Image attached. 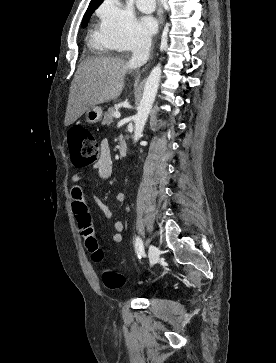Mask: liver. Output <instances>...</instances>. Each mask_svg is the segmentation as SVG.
Instances as JSON below:
<instances>
[{"instance_id":"1","label":"liver","mask_w":276,"mask_h":363,"mask_svg":"<svg viewBox=\"0 0 276 363\" xmlns=\"http://www.w3.org/2000/svg\"><path fill=\"white\" fill-rule=\"evenodd\" d=\"M134 68L121 57H89L82 61L70 86L65 126L89 108L116 99L122 93L126 73Z\"/></svg>"}]
</instances>
